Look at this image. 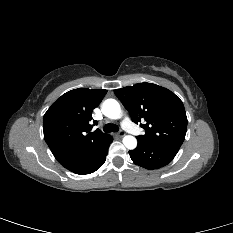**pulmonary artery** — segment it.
Instances as JSON below:
<instances>
[{
  "mask_svg": "<svg viewBox=\"0 0 233 233\" xmlns=\"http://www.w3.org/2000/svg\"><path fill=\"white\" fill-rule=\"evenodd\" d=\"M122 126L125 130H127L130 133H137V128L133 125L130 118L128 116H125L122 120Z\"/></svg>",
  "mask_w": 233,
  "mask_h": 233,
  "instance_id": "e3ab8cb5",
  "label": "pulmonary artery"
}]
</instances>
